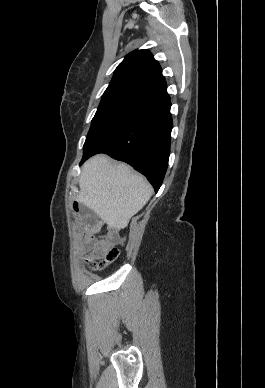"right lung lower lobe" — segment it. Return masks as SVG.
<instances>
[{"mask_svg":"<svg viewBox=\"0 0 265 388\" xmlns=\"http://www.w3.org/2000/svg\"><path fill=\"white\" fill-rule=\"evenodd\" d=\"M170 107L167 91L149 100L84 155L80 165L94 154L106 153L145 175L157 192L166 173L170 154L173 127Z\"/></svg>","mask_w":265,"mask_h":388,"instance_id":"1","label":"right lung lower lobe"}]
</instances>
